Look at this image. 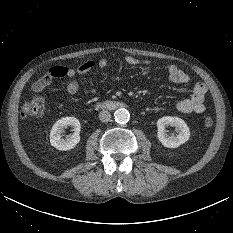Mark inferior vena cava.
<instances>
[{
    "label": "inferior vena cava",
    "mask_w": 233,
    "mask_h": 233,
    "mask_svg": "<svg viewBox=\"0 0 233 233\" xmlns=\"http://www.w3.org/2000/svg\"><path fill=\"white\" fill-rule=\"evenodd\" d=\"M99 119L101 122H108L111 120V114L108 110H102L99 113Z\"/></svg>",
    "instance_id": "602c4592"
}]
</instances>
